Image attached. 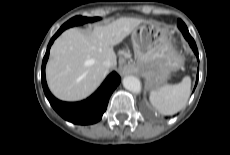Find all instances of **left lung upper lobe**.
Listing matches in <instances>:
<instances>
[{"label":"left lung upper lobe","mask_w":230,"mask_h":155,"mask_svg":"<svg viewBox=\"0 0 230 155\" xmlns=\"http://www.w3.org/2000/svg\"><path fill=\"white\" fill-rule=\"evenodd\" d=\"M178 28L181 30L182 34L185 33V32L189 33V31H188V29H187V26H186L185 23H184L182 20H180V19H178Z\"/></svg>","instance_id":"left-lung-upper-lobe-1"}]
</instances>
